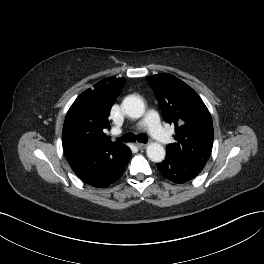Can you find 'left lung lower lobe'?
<instances>
[{"label": "left lung lower lobe", "mask_w": 264, "mask_h": 264, "mask_svg": "<svg viewBox=\"0 0 264 264\" xmlns=\"http://www.w3.org/2000/svg\"><path fill=\"white\" fill-rule=\"evenodd\" d=\"M204 164L183 162L166 154L162 163L157 167L162 175L174 183H185L195 178L203 169Z\"/></svg>", "instance_id": "0a47b994"}]
</instances>
